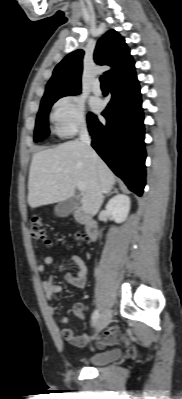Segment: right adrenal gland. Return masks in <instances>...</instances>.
<instances>
[{
  "label": "right adrenal gland",
  "instance_id": "right-adrenal-gland-1",
  "mask_svg": "<svg viewBox=\"0 0 182 399\" xmlns=\"http://www.w3.org/2000/svg\"><path fill=\"white\" fill-rule=\"evenodd\" d=\"M113 190H114V191L109 192V193L106 195V197L112 195L113 193H118V190H117L116 188H114Z\"/></svg>",
  "mask_w": 182,
  "mask_h": 399
}]
</instances>
